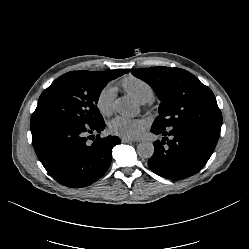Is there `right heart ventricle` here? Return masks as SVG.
Wrapping results in <instances>:
<instances>
[{"instance_id": "1", "label": "right heart ventricle", "mask_w": 249, "mask_h": 249, "mask_svg": "<svg viewBox=\"0 0 249 249\" xmlns=\"http://www.w3.org/2000/svg\"><path fill=\"white\" fill-rule=\"evenodd\" d=\"M121 87L141 103H146L154 96L153 87L144 79L135 75H126L120 80Z\"/></svg>"}]
</instances>
